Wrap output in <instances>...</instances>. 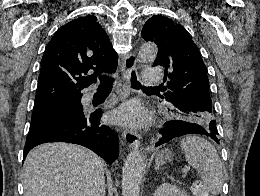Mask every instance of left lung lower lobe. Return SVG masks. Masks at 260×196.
Listing matches in <instances>:
<instances>
[{"label":"left lung lower lobe","instance_id":"obj_1","mask_svg":"<svg viewBox=\"0 0 260 196\" xmlns=\"http://www.w3.org/2000/svg\"><path fill=\"white\" fill-rule=\"evenodd\" d=\"M165 127L160 130V133L163 135L162 138L156 143V147L166 143L174 137H179L186 134H204L211 137L217 143L219 140L217 138L218 131L216 127V121L211 122L208 127H203L199 124L187 122L183 120H174L169 121L164 124Z\"/></svg>","mask_w":260,"mask_h":196}]
</instances>
